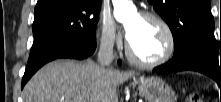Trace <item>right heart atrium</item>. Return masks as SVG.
<instances>
[{"instance_id": "1", "label": "right heart atrium", "mask_w": 221, "mask_h": 102, "mask_svg": "<svg viewBox=\"0 0 221 102\" xmlns=\"http://www.w3.org/2000/svg\"><path fill=\"white\" fill-rule=\"evenodd\" d=\"M99 43L108 51L117 49L121 43L115 22L106 14L102 15L99 22Z\"/></svg>"}]
</instances>
